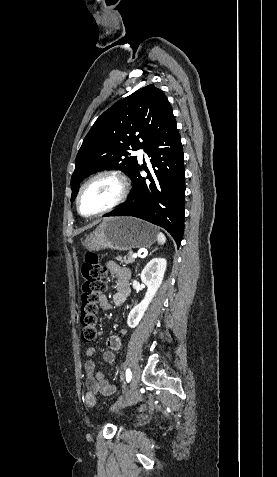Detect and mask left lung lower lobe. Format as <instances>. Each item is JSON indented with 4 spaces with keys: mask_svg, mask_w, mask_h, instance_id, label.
I'll return each mask as SVG.
<instances>
[{
    "mask_svg": "<svg viewBox=\"0 0 277 477\" xmlns=\"http://www.w3.org/2000/svg\"><path fill=\"white\" fill-rule=\"evenodd\" d=\"M151 157L153 172L131 176L130 200L105 216H134L166 229L180 246L184 231L185 170L181 137L175 118L157 132L144 147Z\"/></svg>",
    "mask_w": 277,
    "mask_h": 477,
    "instance_id": "obj_1",
    "label": "left lung lower lobe"
}]
</instances>
